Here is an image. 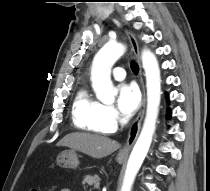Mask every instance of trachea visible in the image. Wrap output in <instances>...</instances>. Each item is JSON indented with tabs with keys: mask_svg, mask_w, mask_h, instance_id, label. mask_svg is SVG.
Here are the masks:
<instances>
[{
	"mask_svg": "<svg viewBox=\"0 0 210 191\" xmlns=\"http://www.w3.org/2000/svg\"><path fill=\"white\" fill-rule=\"evenodd\" d=\"M131 70L133 71L134 74H137L139 71V66L135 62H131Z\"/></svg>",
	"mask_w": 210,
	"mask_h": 191,
	"instance_id": "1",
	"label": "trachea"
}]
</instances>
